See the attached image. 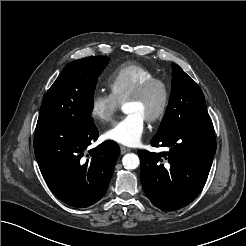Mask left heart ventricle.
<instances>
[{"label": "left heart ventricle", "mask_w": 246, "mask_h": 246, "mask_svg": "<svg viewBox=\"0 0 246 246\" xmlns=\"http://www.w3.org/2000/svg\"><path fill=\"white\" fill-rule=\"evenodd\" d=\"M162 100V91L159 87H154L145 98L139 101L126 102L124 109L127 113H138L144 119L157 111Z\"/></svg>", "instance_id": "obj_1"}]
</instances>
